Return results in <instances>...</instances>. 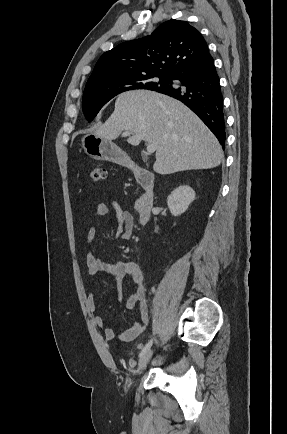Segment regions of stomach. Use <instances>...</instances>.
Returning a JSON list of instances; mask_svg holds the SVG:
<instances>
[{
	"label": "stomach",
	"mask_w": 287,
	"mask_h": 434,
	"mask_svg": "<svg viewBox=\"0 0 287 434\" xmlns=\"http://www.w3.org/2000/svg\"><path fill=\"white\" fill-rule=\"evenodd\" d=\"M81 146L91 158L99 161H110L120 165H129L128 155L111 141L86 133L81 139Z\"/></svg>",
	"instance_id": "0dacf381"
}]
</instances>
